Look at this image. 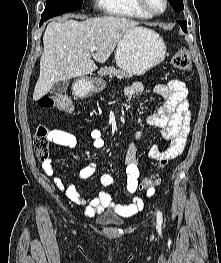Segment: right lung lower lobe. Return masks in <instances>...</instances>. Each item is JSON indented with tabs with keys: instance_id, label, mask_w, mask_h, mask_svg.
<instances>
[{
	"instance_id": "1",
	"label": "right lung lower lobe",
	"mask_w": 221,
	"mask_h": 263,
	"mask_svg": "<svg viewBox=\"0 0 221 263\" xmlns=\"http://www.w3.org/2000/svg\"><path fill=\"white\" fill-rule=\"evenodd\" d=\"M45 21H46L45 19H41V21H40V26H41Z\"/></svg>"
}]
</instances>
